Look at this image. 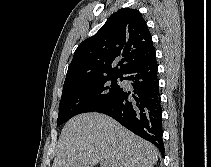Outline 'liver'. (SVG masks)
<instances>
[{
    "label": "liver",
    "mask_w": 211,
    "mask_h": 167,
    "mask_svg": "<svg viewBox=\"0 0 211 167\" xmlns=\"http://www.w3.org/2000/svg\"><path fill=\"white\" fill-rule=\"evenodd\" d=\"M159 151L117 121L99 113L80 114L62 129L52 167H153Z\"/></svg>",
    "instance_id": "obj_1"
}]
</instances>
